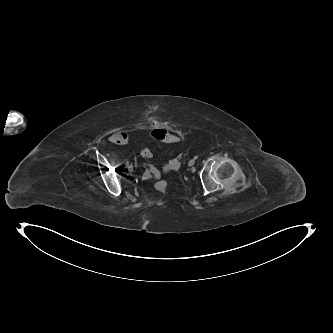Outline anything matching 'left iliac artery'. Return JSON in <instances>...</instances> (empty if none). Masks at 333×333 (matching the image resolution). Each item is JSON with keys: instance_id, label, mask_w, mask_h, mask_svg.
<instances>
[{"instance_id": "1", "label": "left iliac artery", "mask_w": 333, "mask_h": 333, "mask_svg": "<svg viewBox=\"0 0 333 333\" xmlns=\"http://www.w3.org/2000/svg\"><path fill=\"white\" fill-rule=\"evenodd\" d=\"M197 158H198V156H195V157H194V159H197Z\"/></svg>"}]
</instances>
